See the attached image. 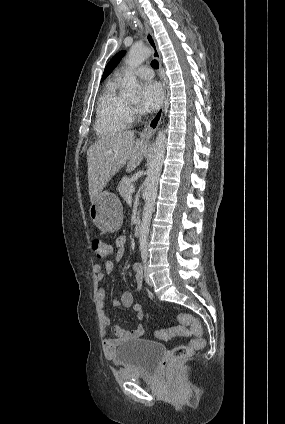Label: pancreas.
I'll list each match as a JSON object with an SVG mask.
<instances>
[{
  "label": "pancreas",
  "instance_id": "1",
  "mask_svg": "<svg viewBox=\"0 0 285 424\" xmlns=\"http://www.w3.org/2000/svg\"><path fill=\"white\" fill-rule=\"evenodd\" d=\"M132 186L131 180L129 177L125 176L121 179L118 185L119 194L123 199L130 197L129 187Z\"/></svg>",
  "mask_w": 285,
  "mask_h": 424
}]
</instances>
